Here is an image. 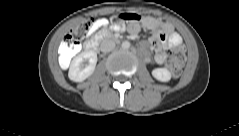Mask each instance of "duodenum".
<instances>
[{"instance_id": "1", "label": "duodenum", "mask_w": 239, "mask_h": 136, "mask_svg": "<svg viewBox=\"0 0 239 136\" xmlns=\"http://www.w3.org/2000/svg\"><path fill=\"white\" fill-rule=\"evenodd\" d=\"M85 49L87 51L96 52L99 48V39H91L85 43Z\"/></svg>"}]
</instances>
